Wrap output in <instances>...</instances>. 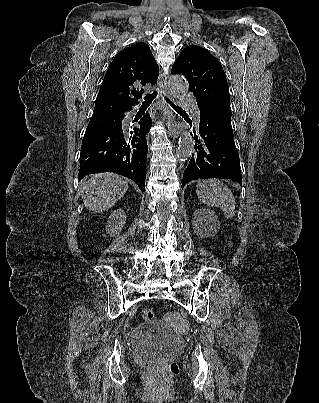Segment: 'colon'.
<instances>
[{"label":"colon","mask_w":319,"mask_h":403,"mask_svg":"<svg viewBox=\"0 0 319 403\" xmlns=\"http://www.w3.org/2000/svg\"><path fill=\"white\" fill-rule=\"evenodd\" d=\"M142 316L144 319H151L154 316V311L152 308H145L142 311ZM173 363L170 368L173 369ZM149 370L154 372L159 378H164L169 373V366L161 361H152L149 364Z\"/></svg>","instance_id":"colon-1"}]
</instances>
